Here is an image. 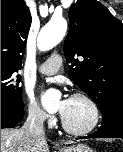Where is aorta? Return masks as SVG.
Listing matches in <instances>:
<instances>
[{"label":"aorta","mask_w":123,"mask_h":152,"mask_svg":"<svg viewBox=\"0 0 123 152\" xmlns=\"http://www.w3.org/2000/svg\"><path fill=\"white\" fill-rule=\"evenodd\" d=\"M67 21L63 18L52 19L40 31L37 45L40 51H48L55 47L65 36ZM42 106L49 110L56 105V94L54 91H47L41 97Z\"/></svg>","instance_id":"762f6f07"}]
</instances>
